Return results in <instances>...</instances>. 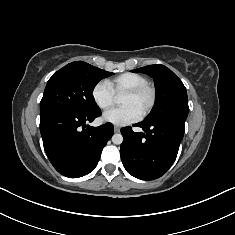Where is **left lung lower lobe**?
Instances as JSON below:
<instances>
[{"mask_svg":"<svg viewBox=\"0 0 235 235\" xmlns=\"http://www.w3.org/2000/svg\"><path fill=\"white\" fill-rule=\"evenodd\" d=\"M185 120L168 116L142 121L135 126L144 132L121 129L122 163L129 174L142 180H154L165 174L176 159L184 135Z\"/></svg>","mask_w":235,"mask_h":235,"instance_id":"1","label":"left lung lower lobe"}]
</instances>
